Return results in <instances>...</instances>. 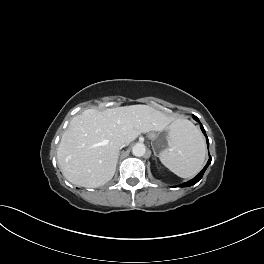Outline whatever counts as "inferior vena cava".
<instances>
[{"instance_id":"obj_1","label":"inferior vena cava","mask_w":264,"mask_h":264,"mask_svg":"<svg viewBox=\"0 0 264 264\" xmlns=\"http://www.w3.org/2000/svg\"><path fill=\"white\" fill-rule=\"evenodd\" d=\"M125 146H126V144H125L124 141L119 142V147H120V148H123V147H125Z\"/></svg>"}]
</instances>
